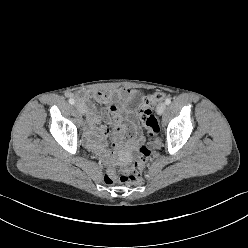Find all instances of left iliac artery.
Here are the masks:
<instances>
[{
    "label": "left iliac artery",
    "mask_w": 248,
    "mask_h": 248,
    "mask_svg": "<svg viewBox=\"0 0 248 248\" xmlns=\"http://www.w3.org/2000/svg\"><path fill=\"white\" fill-rule=\"evenodd\" d=\"M171 103V99L170 98H167L166 100H165V104L166 105H169Z\"/></svg>",
    "instance_id": "44dca946"
}]
</instances>
